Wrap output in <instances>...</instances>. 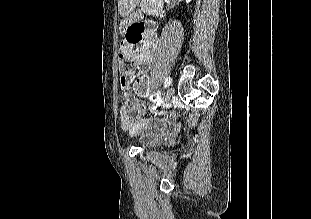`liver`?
Instances as JSON below:
<instances>
[{
	"label": "liver",
	"mask_w": 311,
	"mask_h": 219,
	"mask_svg": "<svg viewBox=\"0 0 311 219\" xmlns=\"http://www.w3.org/2000/svg\"><path fill=\"white\" fill-rule=\"evenodd\" d=\"M131 1L132 0H118V10L122 16L126 15L131 10Z\"/></svg>",
	"instance_id": "1"
}]
</instances>
